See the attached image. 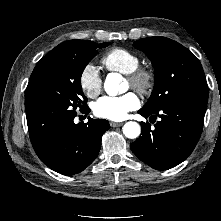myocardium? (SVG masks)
Masks as SVG:
<instances>
[{
  "label": "myocardium",
  "instance_id": "f54148a6",
  "mask_svg": "<svg viewBox=\"0 0 221 221\" xmlns=\"http://www.w3.org/2000/svg\"><path fill=\"white\" fill-rule=\"evenodd\" d=\"M129 85L141 94H149L155 84V75L152 69L137 66L131 73L127 74Z\"/></svg>",
  "mask_w": 221,
  "mask_h": 221
}]
</instances>
